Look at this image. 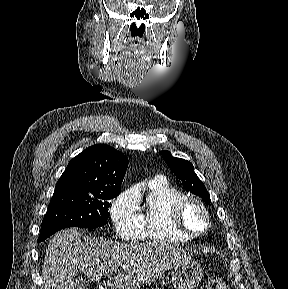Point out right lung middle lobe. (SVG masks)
<instances>
[{
	"mask_svg": "<svg viewBox=\"0 0 288 289\" xmlns=\"http://www.w3.org/2000/svg\"><path fill=\"white\" fill-rule=\"evenodd\" d=\"M119 194L118 190L54 192L42 221L38 242L66 227L96 228L107 224L110 206L108 201Z\"/></svg>",
	"mask_w": 288,
	"mask_h": 289,
	"instance_id": "right-lung-middle-lobe-1",
	"label": "right lung middle lobe"
}]
</instances>
